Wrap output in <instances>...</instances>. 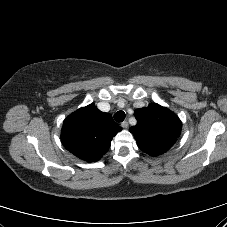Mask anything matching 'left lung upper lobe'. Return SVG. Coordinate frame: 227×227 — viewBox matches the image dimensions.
<instances>
[{
  "instance_id": "obj_1",
  "label": "left lung upper lobe",
  "mask_w": 227,
  "mask_h": 227,
  "mask_svg": "<svg viewBox=\"0 0 227 227\" xmlns=\"http://www.w3.org/2000/svg\"><path fill=\"white\" fill-rule=\"evenodd\" d=\"M137 124L130 127L138 147L151 156L168 151L177 141L181 131L178 116L166 107L151 103L134 111Z\"/></svg>"
}]
</instances>
